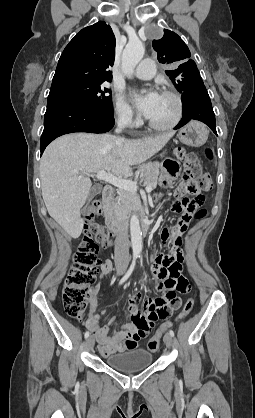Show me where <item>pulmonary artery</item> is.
<instances>
[{
	"instance_id": "obj_1",
	"label": "pulmonary artery",
	"mask_w": 255,
	"mask_h": 418,
	"mask_svg": "<svg viewBox=\"0 0 255 418\" xmlns=\"http://www.w3.org/2000/svg\"><path fill=\"white\" fill-rule=\"evenodd\" d=\"M156 73L155 63L152 59L146 58L140 62L134 71V75L140 79H151Z\"/></svg>"
}]
</instances>
